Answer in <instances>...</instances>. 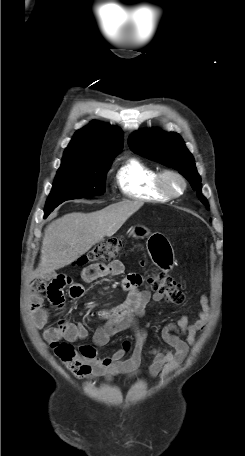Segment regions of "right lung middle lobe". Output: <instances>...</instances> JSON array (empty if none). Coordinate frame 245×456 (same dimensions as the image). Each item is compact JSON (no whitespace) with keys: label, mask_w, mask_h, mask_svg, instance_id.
I'll return each mask as SVG.
<instances>
[{"label":"right lung middle lobe","mask_w":245,"mask_h":456,"mask_svg":"<svg viewBox=\"0 0 245 456\" xmlns=\"http://www.w3.org/2000/svg\"><path fill=\"white\" fill-rule=\"evenodd\" d=\"M113 158L62 163L47 199L45 214L51 213L66 200L104 194L105 176Z\"/></svg>","instance_id":"obj_1"}]
</instances>
